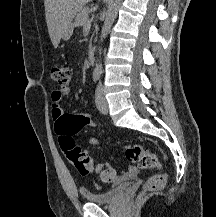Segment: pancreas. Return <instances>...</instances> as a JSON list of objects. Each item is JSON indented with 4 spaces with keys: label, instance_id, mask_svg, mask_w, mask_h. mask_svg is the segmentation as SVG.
Wrapping results in <instances>:
<instances>
[{
    "label": "pancreas",
    "instance_id": "1",
    "mask_svg": "<svg viewBox=\"0 0 216 217\" xmlns=\"http://www.w3.org/2000/svg\"><path fill=\"white\" fill-rule=\"evenodd\" d=\"M90 23L89 9L87 7H83L76 15L75 24L77 26L90 27Z\"/></svg>",
    "mask_w": 216,
    "mask_h": 217
}]
</instances>
